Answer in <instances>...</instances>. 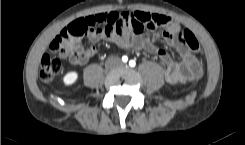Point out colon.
<instances>
[{"mask_svg": "<svg viewBox=\"0 0 245 145\" xmlns=\"http://www.w3.org/2000/svg\"><path fill=\"white\" fill-rule=\"evenodd\" d=\"M101 18V15H98V19L102 20ZM79 19H75L63 27L58 36L51 42L48 51L43 55L39 72L43 80H51L59 74L61 62L57 55L60 57L69 55L73 49L72 42L87 37L88 33L96 26L93 16H88L85 22ZM163 24L168 30L177 33L192 51L199 49L197 40L189 30L181 27L176 21L160 15H154L151 19L143 15L139 21L122 17L115 23L100 22L102 27L109 26L120 32L126 31L137 34L145 28L154 29Z\"/></svg>", "mask_w": 245, "mask_h": 145, "instance_id": "5ec220e1", "label": "colon"}]
</instances>
